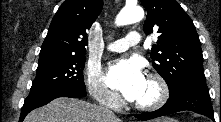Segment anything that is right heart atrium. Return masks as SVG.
Returning a JSON list of instances; mask_svg holds the SVG:
<instances>
[{
    "label": "right heart atrium",
    "mask_w": 221,
    "mask_h": 122,
    "mask_svg": "<svg viewBox=\"0 0 221 122\" xmlns=\"http://www.w3.org/2000/svg\"><path fill=\"white\" fill-rule=\"evenodd\" d=\"M86 86L96 102L110 108L120 106V97L106 86L103 75L98 68L93 66L87 68Z\"/></svg>",
    "instance_id": "d8ad5b80"
}]
</instances>
